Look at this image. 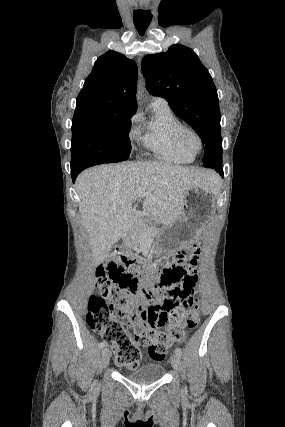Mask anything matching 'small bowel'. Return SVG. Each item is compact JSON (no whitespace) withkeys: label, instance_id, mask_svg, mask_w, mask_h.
<instances>
[{"label":"small bowel","instance_id":"obj_1","mask_svg":"<svg viewBox=\"0 0 285 427\" xmlns=\"http://www.w3.org/2000/svg\"><path fill=\"white\" fill-rule=\"evenodd\" d=\"M197 264L196 257L191 260V266L187 269L188 273L191 275L196 274V269L194 265ZM182 292V287L178 288ZM192 288L188 289V294H190ZM178 296L172 295L169 292H165L158 300L152 303V307L147 312V322L150 325H153L157 328H161L165 325L163 316L169 311V304L174 301Z\"/></svg>","mask_w":285,"mask_h":427}]
</instances>
